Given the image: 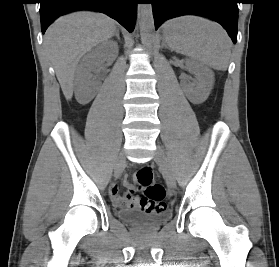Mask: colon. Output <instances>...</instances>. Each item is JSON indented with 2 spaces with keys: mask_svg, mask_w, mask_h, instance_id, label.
Listing matches in <instances>:
<instances>
[{
  "mask_svg": "<svg viewBox=\"0 0 279 267\" xmlns=\"http://www.w3.org/2000/svg\"><path fill=\"white\" fill-rule=\"evenodd\" d=\"M136 181L143 192L138 205L146 213H162L166 209L163 199L165 190L162 185L154 182L153 170L150 166L141 167L136 173Z\"/></svg>",
  "mask_w": 279,
  "mask_h": 267,
  "instance_id": "obj_1",
  "label": "colon"
}]
</instances>
